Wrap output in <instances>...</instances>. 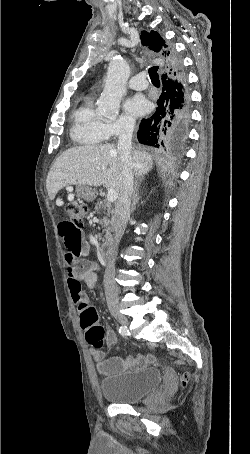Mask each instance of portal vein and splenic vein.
Instances as JSON below:
<instances>
[{
	"mask_svg": "<svg viewBox=\"0 0 250 454\" xmlns=\"http://www.w3.org/2000/svg\"><path fill=\"white\" fill-rule=\"evenodd\" d=\"M117 192L114 189H109L107 193V201L109 203L116 201L117 199Z\"/></svg>",
	"mask_w": 250,
	"mask_h": 454,
	"instance_id": "obj_1",
	"label": "portal vein and splenic vein"
}]
</instances>
